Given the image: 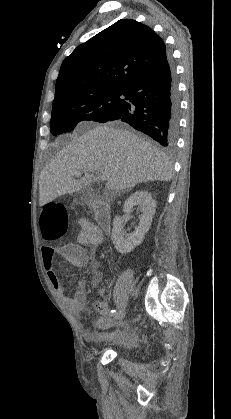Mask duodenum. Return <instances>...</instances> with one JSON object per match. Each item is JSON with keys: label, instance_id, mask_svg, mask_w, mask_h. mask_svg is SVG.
<instances>
[{"label": "duodenum", "instance_id": "obj_1", "mask_svg": "<svg viewBox=\"0 0 231 419\" xmlns=\"http://www.w3.org/2000/svg\"><path fill=\"white\" fill-rule=\"evenodd\" d=\"M94 213L99 230L103 233L108 232L111 225V215L108 205L102 201H95Z\"/></svg>", "mask_w": 231, "mask_h": 419}]
</instances>
